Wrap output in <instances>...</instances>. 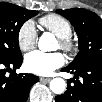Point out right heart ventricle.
<instances>
[{
    "mask_svg": "<svg viewBox=\"0 0 102 102\" xmlns=\"http://www.w3.org/2000/svg\"><path fill=\"white\" fill-rule=\"evenodd\" d=\"M39 23L57 38H63L73 33L71 23L66 18L57 14L43 16L39 19Z\"/></svg>",
    "mask_w": 102,
    "mask_h": 102,
    "instance_id": "obj_1",
    "label": "right heart ventricle"
}]
</instances>
